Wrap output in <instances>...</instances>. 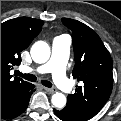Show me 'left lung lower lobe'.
Returning a JSON list of instances; mask_svg holds the SVG:
<instances>
[{"instance_id":"left-lung-lower-lobe-1","label":"left lung lower lobe","mask_w":121,"mask_h":121,"mask_svg":"<svg viewBox=\"0 0 121 121\" xmlns=\"http://www.w3.org/2000/svg\"><path fill=\"white\" fill-rule=\"evenodd\" d=\"M54 113L59 119L63 121H87L89 120V119L80 117L78 114L74 113L72 110H70L67 107H65L62 110L54 109Z\"/></svg>"}]
</instances>
